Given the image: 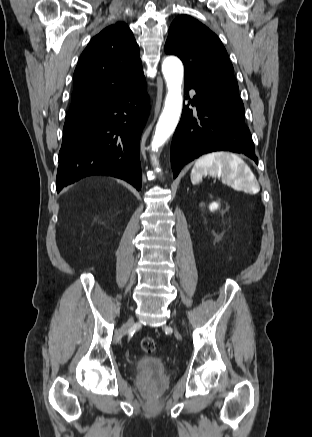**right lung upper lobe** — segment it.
<instances>
[{
    "instance_id": "cb5924a9",
    "label": "right lung upper lobe",
    "mask_w": 312,
    "mask_h": 437,
    "mask_svg": "<svg viewBox=\"0 0 312 437\" xmlns=\"http://www.w3.org/2000/svg\"><path fill=\"white\" fill-rule=\"evenodd\" d=\"M143 76L139 47L125 23L93 37L74 72L68 113H81L122 93Z\"/></svg>"
}]
</instances>
